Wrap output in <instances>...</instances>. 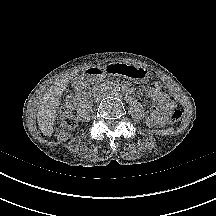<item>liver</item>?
<instances>
[{
  "label": "liver",
  "mask_w": 216,
  "mask_h": 216,
  "mask_svg": "<svg viewBox=\"0 0 216 216\" xmlns=\"http://www.w3.org/2000/svg\"><path fill=\"white\" fill-rule=\"evenodd\" d=\"M59 86V87H58ZM65 89V84L55 85L54 89L43 95V100L40 103L37 113L38 125L41 132L50 137L53 133L54 122L57 117V109L60 105V98Z\"/></svg>",
  "instance_id": "6515ba94"
}]
</instances>
